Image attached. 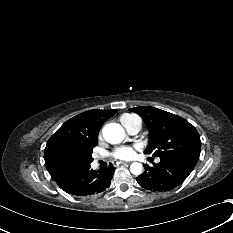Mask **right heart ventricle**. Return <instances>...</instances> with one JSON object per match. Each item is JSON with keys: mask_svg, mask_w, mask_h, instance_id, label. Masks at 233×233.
Instances as JSON below:
<instances>
[{"mask_svg": "<svg viewBox=\"0 0 233 233\" xmlns=\"http://www.w3.org/2000/svg\"><path fill=\"white\" fill-rule=\"evenodd\" d=\"M135 118H137L136 115L124 114L120 117L119 121L126 128L129 125V123Z\"/></svg>", "mask_w": 233, "mask_h": 233, "instance_id": "obj_1", "label": "right heart ventricle"}]
</instances>
